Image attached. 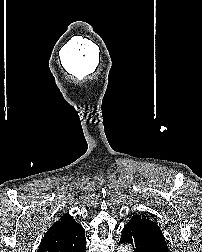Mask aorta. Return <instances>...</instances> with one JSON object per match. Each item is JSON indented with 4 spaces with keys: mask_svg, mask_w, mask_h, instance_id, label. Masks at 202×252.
Instances as JSON below:
<instances>
[{
    "mask_svg": "<svg viewBox=\"0 0 202 252\" xmlns=\"http://www.w3.org/2000/svg\"><path fill=\"white\" fill-rule=\"evenodd\" d=\"M118 252H130L128 246H120Z\"/></svg>",
    "mask_w": 202,
    "mask_h": 252,
    "instance_id": "aorta-1",
    "label": "aorta"
}]
</instances>
